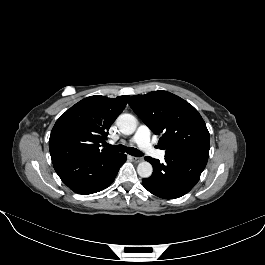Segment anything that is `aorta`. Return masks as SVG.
Listing matches in <instances>:
<instances>
[{"instance_id": "obj_1", "label": "aorta", "mask_w": 265, "mask_h": 265, "mask_svg": "<svg viewBox=\"0 0 265 265\" xmlns=\"http://www.w3.org/2000/svg\"><path fill=\"white\" fill-rule=\"evenodd\" d=\"M116 124L119 131L124 135H131L135 132L137 127V120L131 114H121L117 120ZM138 174L143 178H149L152 175L153 167L147 161H142L137 166Z\"/></svg>"}]
</instances>
